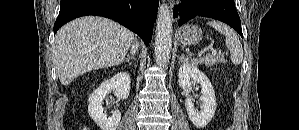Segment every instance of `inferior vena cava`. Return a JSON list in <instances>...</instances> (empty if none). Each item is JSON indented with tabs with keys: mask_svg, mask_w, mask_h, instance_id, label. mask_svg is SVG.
Here are the masks:
<instances>
[{
	"mask_svg": "<svg viewBox=\"0 0 299 130\" xmlns=\"http://www.w3.org/2000/svg\"><path fill=\"white\" fill-rule=\"evenodd\" d=\"M138 47L139 45L136 43V44H133L132 45V48H131V53L132 54H135V52L138 50Z\"/></svg>",
	"mask_w": 299,
	"mask_h": 130,
	"instance_id": "1",
	"label": "inferior vena cava"
}]
</instances>
